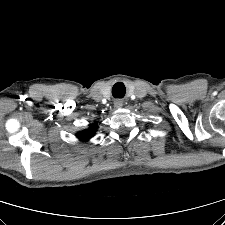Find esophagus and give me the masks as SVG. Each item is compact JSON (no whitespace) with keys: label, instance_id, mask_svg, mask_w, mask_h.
Returning <instances> with one entry per match:
<instances>
[{"label":"esophagus","instance_id":"34e87169","mask_svg":"<svg viewBox=\"0 0 225 225\" xmlns=\"http://www.w3.org/2000/svg\"><path fill=\"white\" fill-rule=\"evenodd\" d=\"M114 105H115L116 108H120V107H122L123 102L121 100H116Z\"/></svg>","mask_w":225,"mask_h":225}]
</instances>
